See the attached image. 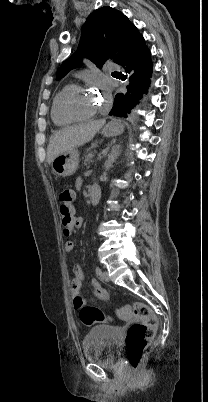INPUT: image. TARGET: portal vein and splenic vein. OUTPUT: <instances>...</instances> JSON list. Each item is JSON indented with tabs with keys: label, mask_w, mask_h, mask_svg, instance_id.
Masks as SVG:
<instances>
[{
	"label": "portal vein and splenic vein",
	"mask_w": 208,
	"mask_h": 402,
	"mask_svg": "<svg viewBox=\"0 0 208 402\" xmlns=\"http://www.w3.org/2000/svg\"><path fill=\"white\" fill-rule=\"evenodd\" d=\"M104 154L105 155H108L109 154V151L108 150H105L104 151ZM95 157H98V154H95V153H90L89 155H87L86 156V161H85V164L86 165H92V164H95L96 163V158ZM100 157H103V154H100Z\"/></svg>",
	"instance_id": "1"
}]
</instances>
